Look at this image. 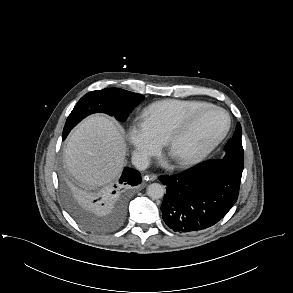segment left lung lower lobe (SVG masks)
Listing matches in <instances>:
<instances>
[{"label":"left lung lower lobe","instance_id":"left-lung-lower-lobe-1","mask_svg":"<svg viewBox=\"0 0 293 293\" xmlns=\"http://www.w3.org/2000/svg\"><path fill=\"white\" fill-rule=\"evenodd\" d=\"M242 171L230 164L205 161L159 180L166 185L163 220L175 232L189 234L216 224L237 201Z\"/></svg>","mask_w":293,"mask_h":293}]
</instances>
